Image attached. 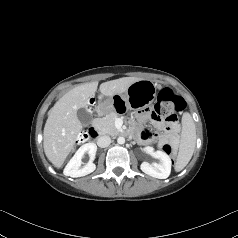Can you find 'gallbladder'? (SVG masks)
<instances>
[{"label": "gallbladder", "mask_w": 238, "mask_h": 238, "mask_svg": "<svg viewBox=\"0 0 238 238\" xmlns=\"http://www.w3.org/2000/svg\"><path fill=\"white\" fill-rule=\"evenodd\" d=\"M77 117L82 124H88L92 121L91 114L86 109H79L77 111Z\"/></svg>", "instance_id": "gallbladder-1"}]
</instances>
